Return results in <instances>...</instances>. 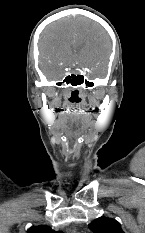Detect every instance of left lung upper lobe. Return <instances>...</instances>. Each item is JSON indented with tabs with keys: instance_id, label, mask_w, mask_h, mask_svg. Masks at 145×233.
I'll list each match as a JSON object with an SVG mask.
<instances>
[{
	"instance_id": "1",
	"label": "left lung upper lobe",
	"mask_w": 145,
	"mask_h": 233,
	"mask_svg": "<svg viewBox=\"0 0 145 233\" xmlns=\"http://www.w3.org/2000/svg\"><path fill=\"white\" fill-rule=\"evenodd\" d=\"M89 228L94 233H124L119 222L107 217L97 218L89 224Z\"/></svg>"
}]
</instances>
